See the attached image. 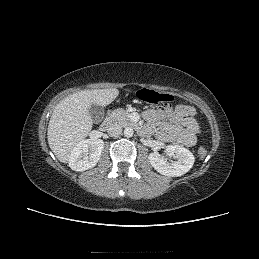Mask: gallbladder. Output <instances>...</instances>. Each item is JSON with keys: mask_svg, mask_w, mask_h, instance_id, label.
I'll list each match as a JSON object with an SVG mask.
<instances>
[{"mask_svg": "<svg viewBox=\"0 0 259 259\" xmlns=\"http://www.w3.org/2000/svg\"><path fill=\"white\" fill-rule=\"evenodd\" d=\"M89 114L94 123H100L104 117V109L99 105H91L89 108Z\"/></svg>", "mask_w": 259, "mask_h": 259, "instance_id": "obj_1", "label": "gallbladder"}]
</instances>
